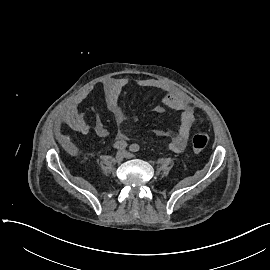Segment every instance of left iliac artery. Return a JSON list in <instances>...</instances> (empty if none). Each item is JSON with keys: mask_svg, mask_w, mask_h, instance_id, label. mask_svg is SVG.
<instances>
[{"mask_svg": "<svg viewBox=\"0 0 270 270\" xmlns=\"http://www.w3.org/2000/svg\"><path fill=\"white\" fill-rule=\"evenodd\" d=\"M139 149H140V147H139V145H137V144H132V145H130V147H129V150L132 151V152H138Z\"/></svg>", "mask_w": 270, "mask_h": 270, "instance_id": "left-iliac-artery-1", "label": "left iliac artery"}]
</instances>
